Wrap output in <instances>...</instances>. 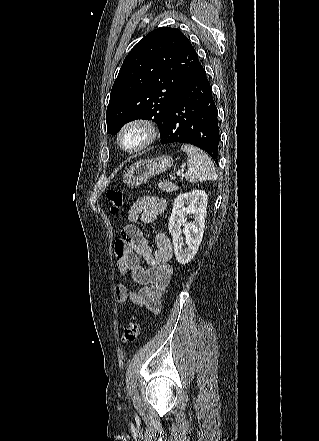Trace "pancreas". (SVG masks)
Masks as SVG:
<instances>
[{"mask_svg":"<svg viewBox=\"0 0 319 441\" xmlns=\"http://www.w3.org/2000/svg\"><path fill=\"white\" fill-rule=\"evenodd\" d=\"M159 188L161 189V190H163L164 192H167V193H170V192H173V191H176L177 189H178V187H177V185L176 184H174V183H172V182H169V181H165V182H160L159 183Z\"/></svg>","mask_w":319,"mask_h":441,"instance_id":"cf45deb5","label":"pancreas"}]
</instances>
